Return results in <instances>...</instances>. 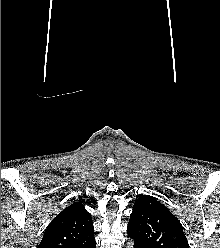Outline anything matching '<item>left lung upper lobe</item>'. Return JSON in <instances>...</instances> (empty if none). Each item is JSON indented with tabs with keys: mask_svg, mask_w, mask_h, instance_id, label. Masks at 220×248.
Masks as SVG:
<instances>
[{
	"mask_svg": "<svg viewBox=\"0 0 220 248\" xmlns=\"http://www.w3.org/2000/svg\"><path fill=\"white\" fill-rule=\"evenodd\" d=\"M127 231L145 248H189L179 220L149 195L135 202Z\"/></svg>",
	"mask_w": 220,
	"mask_h": 248,
	"instance_id": "5c2ea615",
	"label": "left lung upper lobe"
}]
</instances>
